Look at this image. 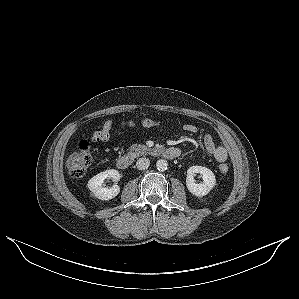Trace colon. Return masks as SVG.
I'll return each instance as SVG.
<instances>
[{
    "instance_id": "5ec220e1",
    "label": "colon",
    "mask_w": 299,
    "mask_h": 299,
    "mask_svg": "<svg viewBox=\"0 0 299 299\" xmlns=\"http://www.w3.org/2000/svg\"><path fill=\"white\" fill-rule=\"evenodd\" d=\"M141 125L144 127H155L158 126V122L145 118L141 120ZM134 124L133 121H124L122 122V126H132ZM92 163V155L90 153V145L89 142L84 140L80 142L78 149L70 154L66 160V168L72 177H81L83 176ZM219 169L222 173H227L229 167L227 164H221Z\"/></svg>"
}]
</instances>
